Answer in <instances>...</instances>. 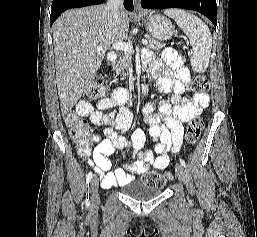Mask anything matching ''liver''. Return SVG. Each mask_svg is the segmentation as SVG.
<instances>
[{"label":"liver","mask_w":257,"mask_h":237,"mask_svg":"<svg viewBox=\"0 0 257 237\" xmlns=\"http://www.w3.org/2000/svg\"><path fill=\"white\" fill-rule=\"evenodd\" d=\"M115 24L106 5L64 12L53 25L56 82L61 112L67 114L91 84L106 51L122 42L129 18L121 12ZM102 50H97V46Z\"/></svg>","instance_id":"liver-1"}]
</instances>
